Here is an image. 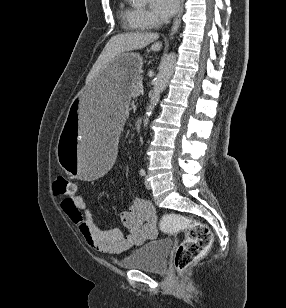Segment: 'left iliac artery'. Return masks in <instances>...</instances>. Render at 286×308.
I'll return each mask as SVG.
<instances>
[{
  "instance_id": "44dca946",
  "label": "left iliac artery",
  "mask_w": 286,
  "mask_h": 308,
  "mask_svg": "<svg viewBox=\"0 0 286 308\" xmlns=\"http://www.w3.org/2000/svg\"><path fill=\"white\" fill-rule=\"evenodd\" d=\"M139 174L141 176H145L146 172H145V170L143 168H141L140 171H139Z\"/></svg>"
}]
</instances>
